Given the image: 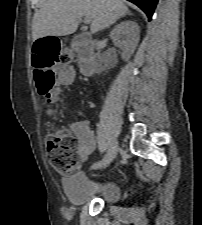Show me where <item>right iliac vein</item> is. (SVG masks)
Segmentation results:
<instances>
[{
    "mask_svg": "<svg viewBox=\"0 0 202 225\" xmlns=\"http://www.w3.org/2000/svg\"><path fill=\"white\" fill-rule=\"evenodd\" d=\"M118 151V143L114 142L111 144V146L108 149L107 154L105 155V162L102 166V168H106L110 165V163L114 160L116 154Z\"/></svg>",
    "mask_w": 202,
    "mask_h": 225,
    "instance_id": "right-iliac-vein-1",
    "label": "right iliac vein"
}]
</instances>
